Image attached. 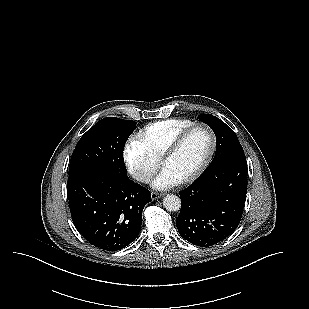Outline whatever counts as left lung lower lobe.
Returning <instances> with one entry per match:
<instances>
[{
  "label": "left lung lower lobe",
  "instance_id": "left-lung-lower-lobe-1",
  "mask_svg": "<svg viewBox=\"0 0 309 309\" xmlns=\"http://www.w3.org/2000/svg\"><path fill=\"white\" fill-rule=\"evenodd\" d=\"M246 192L245 154L209 165L191 186L179 192L182 204L176 225L180 235L201 247L223 241L241 221Z\"/></svg>",
  "mask_w": 309,
  "mask_h": 309
}]
</instances>
